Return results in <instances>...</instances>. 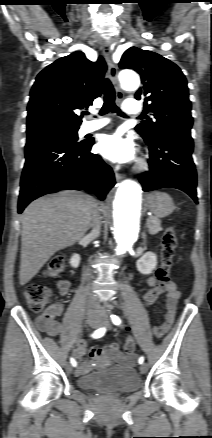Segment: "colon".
<instances>
[{"label": "colon", "instance_id": "colon-1", "mask_svg": "<svg viewBox=\"0 0 212 438\" xmlns=\"http://www.w3.org/2000/svg\"><path fill=\"white\" fill-rule=\"evenodd\" d=\"M176 246V232L173 228H169L162 237V262L155 273L156 285L144 295L146 305H152L166 291ZM64 268V258L62 256H55L49 261L45 273L48 277L55 278L64 271ZM23 295L29 308L33 312H40L51 297V289L45 284L31 283L25 287ZM124 348L128 354L134 351V342L131 337L126 339Z\"/></svg>", "mask_w": 212, "mask_h": 438}]
</instances>
